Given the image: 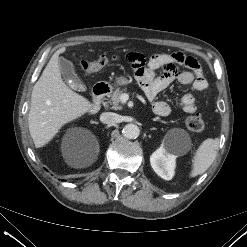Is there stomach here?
<instances>
[{
    "label": "stomach",
    "mask_w": 247,
    "mask_h": 247,
    "mask_svg": "<svg viewBox=\"0 0 247 247\" xmlns=\"http://www.w3.org/2000/svg\"><path fill=\"white\" fill-rule=\"evenodd\" d=\"M130 83V78L126 76H119L114 83L115 86H124Z\"/></svg>",
    "instance_id": "stomach-1"
}]
</instances>
